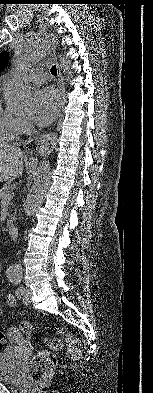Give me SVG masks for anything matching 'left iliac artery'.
Returning <instances> with one entry per match:
<instances>
[{"mask_svg":"<svg viewBox=\"0 0 153 393\" xmlns=\"http://www.w3.org/2000/svg\"><path fill=\"white\" fill-rule=\"evenodd\" d=\"M7 277L9 278L10 282L14 283L15 285H18L21 282V275L20 274H16V273H8ZM23 287L20 286L17 290H16V294L19 296L22 292Z\"/></svg>","mask_w":153,"mask_h":393,"instance_id":"44dca946","label":"left iliac artery"}]
</instances>
